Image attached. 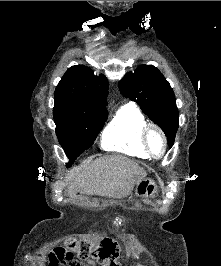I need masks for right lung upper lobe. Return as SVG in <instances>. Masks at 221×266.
<instances>
[{
    "instance_id": "obj_1",
    "label": "right lung upper lobe",
    "mask_w": 221,
    "mask_h": 266,
    "mask_svg": "<svg viewBox=\"0 0 221 266\" xmlns=\"http://www.w3.org/2000/svg\"><path fill=\"white\" fill-rule=\"evenodd\" d=\"M108 81L83 65L72 66L55 89V100L67 101L84 114H107Z\"/></svg>"
}]
</instances>
